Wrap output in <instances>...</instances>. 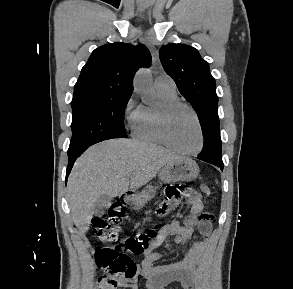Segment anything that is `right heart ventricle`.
I'll list each match as a JSON object with an SVG mask.
<instances>
[{"label": "right heart ventricle", "mask_w": 293, "mask_h": 289, "mask_svg": "<svg viewBox=\"0 0 293 289\" xmlns=\"http://www.w3.org/2000/svg\"><path fill=\"white\" fill-rule=\"evenodd\" d=\"M157 92L162 103L178 100L176 90L169 91L157 89ZM157 110L158 108L149 106L140 107L133 119L132 126L133 135L137 139L151 144H163L158 133Z\"/></svg>", "instance_id": "1"}]
</instances>
